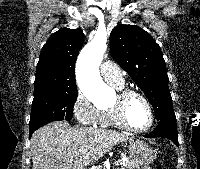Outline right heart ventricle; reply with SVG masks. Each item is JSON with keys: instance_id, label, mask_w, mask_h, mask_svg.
Masks as SVG:
<instances>
[{"instance_id": "obj_1", "label": "right heart ventricle", "mask_w": 200, "mask_h": 169, "mask_svg": "<svg viewBox=\"0 0 200 169\" xmlns=\"http://www.w3.org/2000/svg\"><path fill=\"white\" fill-rule=\"evenodd\" d=\"M117 90L124 88V83L112 84ZM97 126L123 128L118 122L113 106L101 109Z\"/></svg>"}]
</instances>
